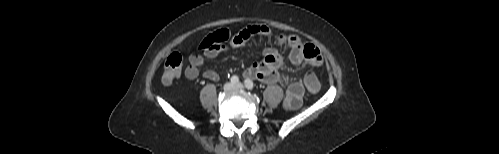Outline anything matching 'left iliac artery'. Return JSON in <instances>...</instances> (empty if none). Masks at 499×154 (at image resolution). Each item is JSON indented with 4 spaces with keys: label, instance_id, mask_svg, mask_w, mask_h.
<instances>
[{
    "label": "left iliac artery",
    "instance_id": "1",
    "mask_svg": "<svg viewBox=\"0 0 499 154\" xmlns=\"http://www.w3.org/2000/svg\"><path fill=\"white\" fill-rule=\"evenodd\" d=\"M244 84H245V87L249 90H252L254 88V84H253V81L250 80V79H246L244 81Z\"/></svg>",
    "mask_w": 499,
    "mask_h": 154
}]
</instances>
